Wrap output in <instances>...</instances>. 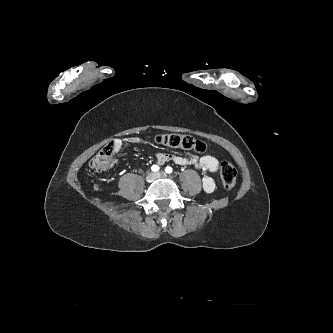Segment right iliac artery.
Returning a JSON list of instances; mask_svg holds the SVG:
<instances>
[{
	"mask_svg": "<svg viewBox=\"0 0 333 333\" xmlns=\"http://www.w3.org/2000/svg\"><path fill=\"white\" fill-rule=\"evenodd\" d=\"M159 166L158 165H153L152 167H151V170L152 171H154V172H157V171H159Z\"/></svg>",
	"mask_w": 333,
	"mask_h": 333,
	"instance_id": "82829eb1",
	"label": "right iliac artery"
}]
</instances>
